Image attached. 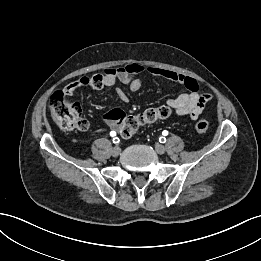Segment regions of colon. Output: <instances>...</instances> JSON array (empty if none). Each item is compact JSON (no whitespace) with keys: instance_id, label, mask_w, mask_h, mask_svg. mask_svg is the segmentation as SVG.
Returning a JSON list of instances; mask_svg holds the SVG:
<instances>
[{"instance_id":"5ec220e1","label":"colon","mask_w":261,"mask_h":261,"mask_svg":"<svg viewBox=\"0 0 261 261\" xmlns=\"http://www.w3.org/2000/svg\"><path fill=\"white\" fill-rule=\"evenodd\" d=\"M84 85L82 80H78L63 90L54 92L51 96V116L63 130L85 131L89 127L88 121L81 115L79 105L70 99L72 93L82 89ZM170 113L168 106H159L146 109L137 115H125L118 110H112L107 117L119 125L121 136L129 138L135 135L141 126L166 119ZM208 126V122L204 119H199L195 123V129L199 133L206 132Z\"/></svg>"}]
</instances>
